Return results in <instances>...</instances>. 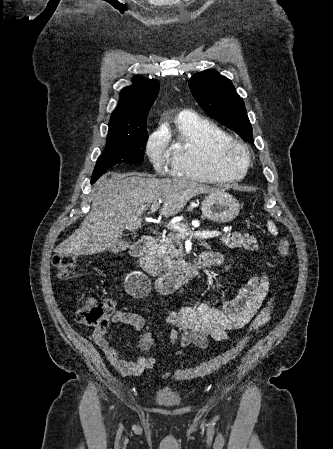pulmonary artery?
<instances>
[{
    "mask_svg": "<svg viewBox=\"0 0 333 449\" xmlns=\"http://www.w3.org/2000/svg\"><path fill=\"white\" fill-rule=\"evenodd\" d=\"M179 120L194 118L193 114L188 110H183L178 115Z\"/></svg>",
    "mask_w": 333,
    "mask_h": 449,
    "instance_id": "1",
    "label": "pulmonary artery"
}]
</instances>
